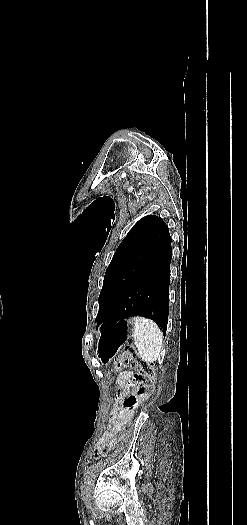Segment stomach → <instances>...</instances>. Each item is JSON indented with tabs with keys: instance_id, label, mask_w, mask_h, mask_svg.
I'll use <instances>...</instances> for the list:
<instances>
[{
	"instance_id": "obj_1",
	"label": "stomach",
	"mask_w": 247,
	"mask_h": 525,
	"mask_svg": "<svg viewBox=\"0 0 247 525\" xmlns=\"http://www.w3.org/2000/svg\"><path fill=\"white\" fill-rule=\"evenodd\" d=\"M133 333V320H116L101 325L96 335L100 362L109 363L127 340L133 336Z\"/></svg>"
}]
</instances>
